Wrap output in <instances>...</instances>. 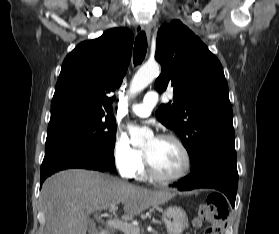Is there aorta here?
I'll return each mask as SVG.
<instances>
[{"instance_id": "1", "label": "aorta", "mask_w": 279, "mask_h": 234, "mask_svg": "<svg viewBox=\"0 0 279 234\" xmlns=\"http://www.w3.org/2000/svg\"><path fill=\"white\" fill-rule=\"evenodd\" d=\"M159 71L160 66L156 62L144 64L134 75L129 93L135 95L142 91L158 76ZM127 128L131 136V143L134 145L144 143L145 139L151 134L150 130L138 128L133 125H128Z\"/></svg>"}]
</instances>
